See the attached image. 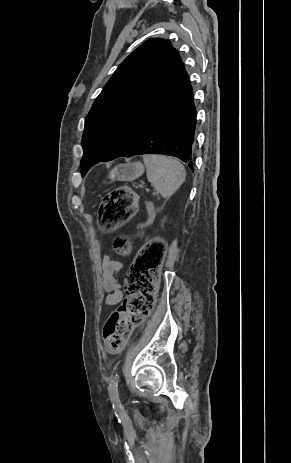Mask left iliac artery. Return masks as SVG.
<instances>
[{
	"label": "left iliac artery",
	"instance_id": "44dca946",
	"mask_svg": "<svg viewBox=\"0 0 291 463\" xmlns=\"http://www.w3.org/2000/svg\"><path fill=\"white\" fill-rule=\"evenodd\" d=\"M118 381H119V377H118V375H115L111 379L110 384H109V388H108L111 400L115 404H119V402H120L119 395H118Z\"/></svg>",
	"mask_w": 291,
	"mask_h": 463
}]
</instances>
